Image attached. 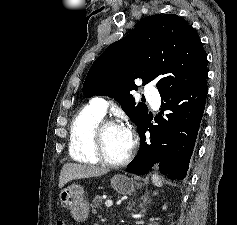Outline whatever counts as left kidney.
Here are the masks:
<instances>
[{
  "mask_svg": "<svg viewBox=\"0 0 237 225\" xmlns=\"http://www.w3.org/2000/svg\"><path fill=\"white\" fill-rule=\"evenodd\" d=\"M166 209V206H163V210H165Z\"/></svg>",
  "mask_w": 237,
  "mask_h": 225,
  "instance_id": "1",
  "label": "left kidney"
}]
</instances>
